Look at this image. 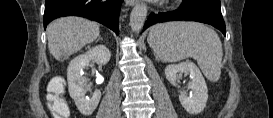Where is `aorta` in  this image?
<instances>
[{"label": "aorta", "instance_id": "aorta-1", "mask_svg": "<svg viewBox=\"0 0 273 118\" xmlns=\"http://www.w3.org/2000/svg\"><path fill=\"white\" fill-rule=\"evenodd\" d=\"M147 17V6L144 3L135 5L130 15V26L134 32H139Z\"/></svg>", "mask_w": 273, "mask_h": 118}]
</instances>
